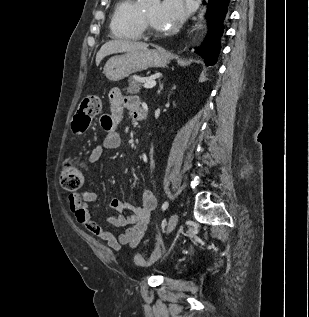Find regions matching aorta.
<instances>
[{"mask_svg":"<svg viewBox=\"0 0 309 317\" xmlns=\"http://www.w3.org/2000/svg\"><path fill=\"white\" fill-rule=\"evenodd\" d=\"M145 2H146L147 4H151V3H158L159 0H145ZM206 2H208V0H206ZM205 12H206V7H203V8L201 9L200 14H199V20H202V19H203V16H204Z\"/></svg>","mask_w":309,"mask_h":317,"instance_id":"1","label":"aorta"}]
</instances>
